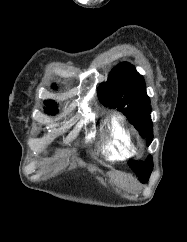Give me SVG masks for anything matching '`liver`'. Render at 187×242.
I'll use <instances>...</instances> for the list:
<instances>
[{
  "label": "liver",
  "instance_id": "obj_1",
  "mask_svg": "<svg viewBox=\"0 0 187 242\" xmlns=\"http://www.w3.org/2000/svg\"><path fill=\"white\" fill-rule=\"evenodd\" d=\"M116 181L120 183L121 185H131L133 183V180L131 177L128 175H123V174H117L116 175Z\"/></svg>",
  "mask_w": 187,
  "mask_h": 242
}]
</instances>
